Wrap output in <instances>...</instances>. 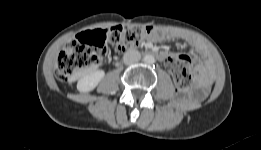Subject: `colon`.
Returning <instances> with one entry per match:
<instances>
[{"instance_id": "1", "label": "colon", "mask_w": 261, "mask_h": 150, "mask_svg": "<svg viewBox=\"0 0 261 150\" xmlns=\"http://www.w3.org/2000/svg\"><path fill=\"white\" fill-rule=\"evenodd\" d=\"M152 31L151 27L119 25L106 30L83 32L59 54L55 64V75L61 81H69L79 71L99 66L107 53L109 43L115 53H122L136 47ZM190 65V58L186 55L167 61V68L177 85L184 87L189 84Z\"/></svg>"}]
</instances>
